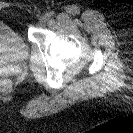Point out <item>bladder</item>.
<instances>
[{
  "label": "bladder",
  "mask_w": 133,
  "mask_h": 133,
  "mask_svg": "<svg viewBox=\"0 0 133 133\" xmlns=\"http://www.w3.org/2000/svg\"><path fill=\"white\" fill-rule=\"evenodd\" d=\"M28 54L29 47L25 38L10 24L0 21V60L20 62Z\"/></svg>",
  "instance_id": "31cf9c89"
}]
</instances>
